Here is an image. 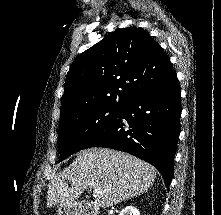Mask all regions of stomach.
Returning <instances> with one entry per match:
<instances>
[{
	"mask_svg": "<svg viewBox=\"0 0 221 215\" xmlns=\"http://www.w3.org/2000/svg\"><path fill=\"white\" fill-rule=\"evenodd\" d=\"M57 215H77L76 206L72 202H63L57 209Z\"/></svg>",
	"mask_w": 221,
	"mask_h": 215,
	"instance_id": "stomach-1",
	"label": "stomach"
}]
</instances>
